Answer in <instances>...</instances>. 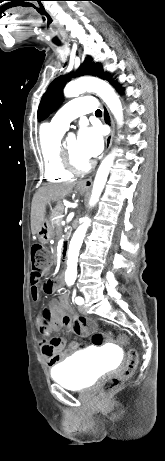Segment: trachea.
I'll return each mask as SVG.
<instances>
[{
    "mask_svg": "<svg viewBox=\"0 0 165 461\" xmlns=\"http://www.w3.org/2000/svg\"><path fill=\"white\" fill-rule=\"evenodd\" d=\"M95 114H96V115H101L102 112H101V110L98 109V110L95 111Z\"/></svg>",
    "mask_w": 165,
    "mask_h": 461,
    "instance_id": "obj_1",
    "label": "trachea"
}]
</instances>
